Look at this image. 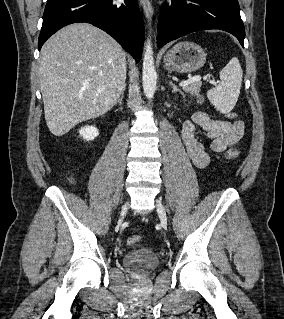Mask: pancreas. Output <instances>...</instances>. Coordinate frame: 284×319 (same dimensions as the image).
<instances>
[{
  "label": "pancreas",
  "mask_w": 284,
  "mask_h": 319,
  "mask_svg": "<svg viewBox=\"0 0 284 319\" xmlns=\"http://www.w3.org/2000/svg\"><path fill=\"white\" fill-rule=\"evenodd\" d=\"M201 85H202L201 82H194V83H191V84L183 87V90L185 92L191 93L192 95H196L197 102L200 104H202L204 102V97L199 94Z\"/></svg>",
  "instance_id": "obj_1"
}]
</instances>
